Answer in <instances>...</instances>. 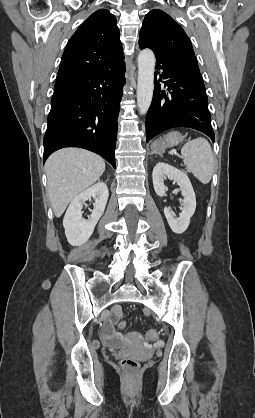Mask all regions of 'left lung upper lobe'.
Returning <instances> with one entry per match:
<instances>
[{
  "label": "left lung upper lobe",
  "mask_w": 255,
  "mask_h": 418,
  "mask_svg": "<svg viewBox=\"0 0 255 418\" xmlns=\"http://www.w3.org/2000/svg\"><path fill=\"white\" fill-rule=\"evenodd\" d=\"M139 46L141 49H152L156 58L195 56L191 41L182 27L168 14L157 9L144 18Z\"/></svg>",
  "instance_id": "5c2ea615"
}]
</instances>
